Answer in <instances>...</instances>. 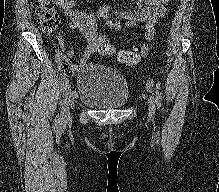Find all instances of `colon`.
I'll use <instances>...</instances> for the list:
<instances>
[{
    "instance_id": "obj_1",
    "label": "colon",
    "mask_w": 219,
    "mask_h": 192,
    "mask_svg": "<svg viewBox=\"0 0 219 192\" xmlns=\"http://www.w3.org/2000/svg\"><path fill=\"white\" fill-rule=\"evenodd\" d=\"M32 12L36 16L44 33L50 36L58 33L60 18L56 9L50 5V0H35L32 3ZM96 51L104 56H116L120 63L128 66L138 64L142 58V55L135 50H116V48L105 39H101L97 42ZM58 63L64 74L71 76L74 73L71 62L61 54L58 55Z\"/></svg>"
}]
</instances>
